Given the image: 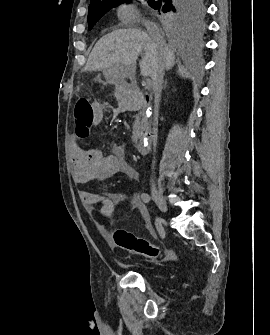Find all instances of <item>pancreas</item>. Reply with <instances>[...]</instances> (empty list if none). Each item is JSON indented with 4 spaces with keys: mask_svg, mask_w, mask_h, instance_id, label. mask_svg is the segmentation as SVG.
<instances>
[{
    "mask_svg": "<svg viewBox=\"0 0 270 335\" xmlns=\"http://www.w3.org/2000/svg\"><path fill=\"white\" fill-rule=\"evenodd\" d=\"M143 118H140V114H137L135 124H133V136L132 142H137L138 138L143 136V132H149V124L146 116L142 114Z\"/></svg>",
    "mask_w": 270,
    "mask_h": 335,
    "instance_id": "obj_1",
    "label": "pancreas"
}]
</instances>
